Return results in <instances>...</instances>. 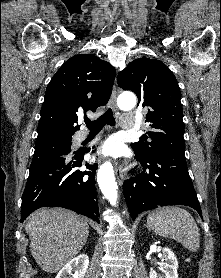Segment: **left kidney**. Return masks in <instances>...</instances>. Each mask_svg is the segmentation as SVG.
<instances>
[{
	"label": "left kidney",
	"instance_id": "5707ae66",
	"mask_svg": "<svg viewBox=\"0 0 221 278\" xmlns=\"http://www.w3.org/2000/svg\"><path fill=\"white\" fill-rule=\"evenodd\" d=\"M163 252V261L160 266H161V270L164 273V278H178V273H177V269H178V260L174 254V252L169 249V248H163L162 249ZM149 277L150 278H163V277H159L156 273V271L151 270L149 273Z\"/></svg>",
	"mask_w": 221,
	"mask_h": 278
}]
</instances>
